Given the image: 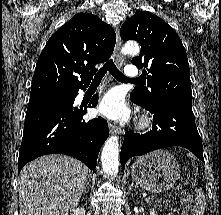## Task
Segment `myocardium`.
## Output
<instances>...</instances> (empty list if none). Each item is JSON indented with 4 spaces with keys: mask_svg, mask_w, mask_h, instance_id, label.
Instances as JSON below:
<instances>
[{
    "mask_svg": "<svg viewBox=\"0 0 221 215\" xmlns=\"http://www.w3.org/2000/svg\"><path fill=\"white\" fill-rule=\"evenodd\" d=\"M152 120L149 117H143L139 122V127L141 129H146L150 127Z\"/></svg>",
    "mask_w": 221,
    "mask_h": 215,
    "instance_id": "1",
    "label": "myocardium"
}]
</instances>
